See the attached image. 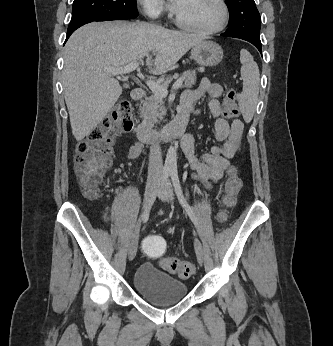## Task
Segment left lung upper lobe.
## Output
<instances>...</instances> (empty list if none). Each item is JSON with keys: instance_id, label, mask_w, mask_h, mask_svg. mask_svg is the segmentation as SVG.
Instances as JSON below:
<instances>
[{"instance_id": "5c2ea615", "label": "left lung upper lobe", "mask_w": 333, "mask_h": 346, "mask_svg": "<svg viewBox=\"0 0 333 346\" xmlns=\"http://www.w3.org/2000/svg\"><path fill=\"white\" fill-rule=\"evenodd\" d=\"M230 12L226 32L260 41L261 17L254 0H225Z\"/></svg>"}]
</instances>
